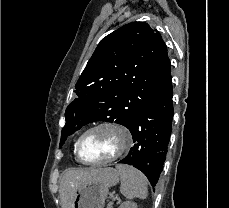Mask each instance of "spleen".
Listing matches in <instances>:
<instances>
[{"label": "spleen", "instance_id": "obj_1", "mask_svg": "<svg viewBox=\"0 0 229 208\" xmlns=\"http://www.w3.org/2000/svg\"><path fill=\"white\" fill-rule=\"evenodd\" d=\"M117 170H119V176L121 180L120 192L128 198V200H133V198H141L145 200L148 196L147 190V178H145L142 172L132 168V166H122V164H117Z\"/></svg>", "mask_w": 229, "mask_h": 208}]
</instances>
